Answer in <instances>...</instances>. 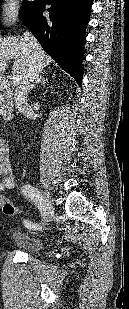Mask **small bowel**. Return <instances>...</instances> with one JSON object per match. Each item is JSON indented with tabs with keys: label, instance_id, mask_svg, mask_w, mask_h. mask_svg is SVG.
I'll use <instances>...</instances> for the list:
<instances>
[{
	"label": "small bowel",
	"instance_id": "small-bowel-1",
	"mask_svg": "<svg viewBox=\"0 0 129 309\" xmlns=\"http://www.w3.org/2000/svg\"><path fill=\"white\" fill-rule=\"evenodd\" d=\"M0 156H1V152H0ZM0 174L5 176L3 182L0 183V191L5 188L6 189L12 188L15 185L14 177L11 174V169L4 156H2V161L0 163ZM0 199L2 200V196H0Z\"/></svg>",
	"mask_w": 129,
	"mask_h": 309
}]
</instances>
